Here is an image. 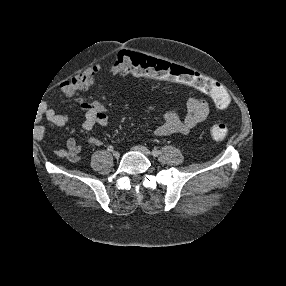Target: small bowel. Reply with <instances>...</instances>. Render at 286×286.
<instances>
[{"mask_svg":"<svg viewBox=\"0 0 286 286\" xmlns=\"http://www.w3.org/2000/svg\"><path fill=\"white\" fill-rule=\"evenodd\" d=\"M174 80L179 83L192 85L176 79ZM81 107L85 111V117L81 123L83 129L91 130L97 125L105 127L108 124V115L100 102L83 101ZM185 108L186 112L184 114L179 109L167 111L164 122L155 129V134L161 137L173 134H187L203 122L209 113L207 101L196 96L188 97ZM45 115L56 126H63L70 122V118L67 115L60 114L52 108L48 109ZM88 142L93 146L102 145V140L95 136L90 137ZM56 154L60 157H66L71 162H78L80 160L81 147L75 139L70 138L66 141V148L58 150Z\"/></svg>","mask_w":286,"mask_h":286,"instance_id":"c3829d8e","label":"small bowel"}]
</instances>
